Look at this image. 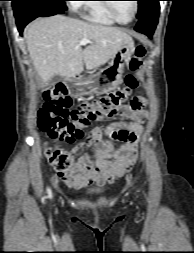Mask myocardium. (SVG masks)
Returning a JSON list of instances; mask_svg holds the SVG:
<instances>
[{"instance_id":"f54148a6","label":"myocardium","mask_w":194,"mask_h":253,"mask_svg":"<svg viewBox=\"0 0 194 253\" xmlns=\"http://www.w3.org/2000/svg\"><path fill=\"white\" fill-rule=\"evenodd\" d=\"M107 2L105 3V7L108 11V13L110 14V16L117 22V23H120V24H128L130 23L131 21L134 20V18L136 17L137 13H138V8H139V4H138V1L137 0H134V12H133V15L132 17L127 20V21H123L121 20L118 15L116 14L115 12V9L113 7V4L112 2H110L111 0H106Z\"/></svg>"}]
</instances>
